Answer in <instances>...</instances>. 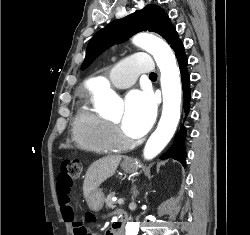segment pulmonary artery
<instances>
[{"instance_id": "e3ab8cb5", "label": "pulmonary artery", "mask_w": 250, "mask_h": 235, "mask_svg": "<svg viewBox=\"0 0 250 235\" xmlns=\"http://www.w3.org/2000/svg\"><path fill=\"white\" fill-rule=\"evenodd\" d=\"M154 72V62L150 54L139 52L123 60L110 74L109 79L116 88L130 87L136 80L137 73Z\"/></svg>"}]
</instances>
